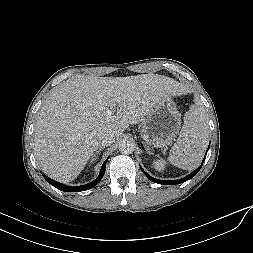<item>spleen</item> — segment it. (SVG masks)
I'll list each match as a JSON object with an SVG mask.
<instances>
[{
    "instance_id": "3e777b00",
    "label": "spleen",
    "mask_w": 253,
    "mask_h": 253,
    "mask_svg": "<svg viewBox=\"0 0 253 253\" xmlns=\"http://www.w3.org/2000/svg\"><path fill=\"white\" fill-rule=\"evenodd\" d=\"M208 127L197 105L185 113L184 125L172 146L168 161L183 170H193L202 161L207 147Z\"/></svg>"
}]
</instances>
